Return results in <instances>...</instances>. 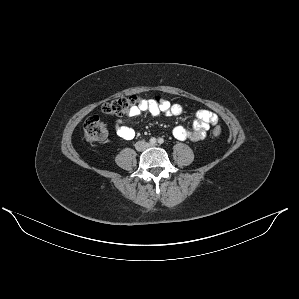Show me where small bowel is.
<instances>
[{
  "label": "small bowel",
  "mask_w": 299,
  "mask_h": 299,
  "mask_svg": "<svg viewBox=\"0 0 299 299\" xmlns=\"http://www.w3.org/2000/svg\"><path fill=\"white\" fill-rule=\"evenodd\" d=\"M142 112H149L153 116L165 114L167 116H181L184 108L179 103H171L165 99L148 100L138 107H134L128 112V117H137ZM195 120L191 129L183 126H176L172 130V135L179 140L199 141L202 140L212 126L218 123V116L208 110H198L195 112ZM116 133L119 137L131 140L136 137V131L128 125L126 118H120L116 124Z\"/></svg>",
  "instance_id": "c3829d8e"
}]
</instances>
